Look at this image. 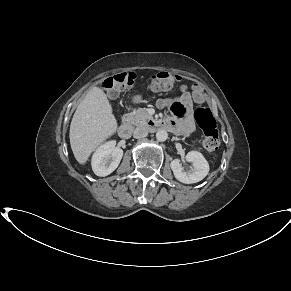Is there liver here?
I'll return each mask as SVG.
<instances>
[{
  "mask_svg": "<svg viewBox=\"0 0 291 291\" xmlns=\"http://www.w3.org/2000/svg\"><path fill=\"white\" fill-rule=\"evenodd\" d=\"M117 129L106 94L93 87L77 107L70 125V145L78 163L84 165L91 153Z\"/></svg>",
  "mask_w": 291,
  "mask_h": 291,
  "instance_id": "6515ba94",
  "label": "liver"
}]
</instances>
